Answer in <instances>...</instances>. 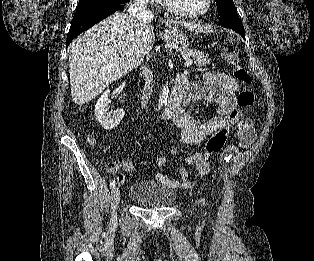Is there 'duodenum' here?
<instances>
[{
	"mask_svg": "<svg viewBox=\"0 0 314 261\" xmlns=\"http://www.w3.org/2000/svg\"><path fill=\"white\" fill-rule=\"evenodd\" d=\"M193 97L194 95L186 87L184 76H177L174 82L172 95L162 111L160 118L162 120H172L181 111L182 107L189 100L193 99Z\"/></svg>",
	"mask_w": 314,
	"mask_h": 261,
	"instance_id": "410a0bca",
	"label": "duodenum"
}]
</instances>
